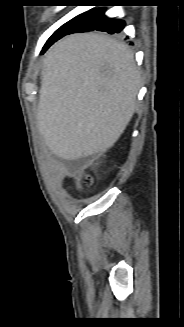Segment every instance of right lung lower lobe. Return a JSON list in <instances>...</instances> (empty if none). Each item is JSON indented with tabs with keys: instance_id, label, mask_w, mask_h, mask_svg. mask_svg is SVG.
Instances as JSON below:
<instances>
[{
	"instance_id": "right-lung-lower-lobe-1",
	"label": "right lung lower lobe",
	"mask_w": 184,
	"mask_h": 327,
	"mask_svg": "<svg viewBox=\"0 0 184 327\" xmlns=\"http://www.w3.org/2000/svg\"><path fill=\"white\" fill-rule=\"evenodd\" d=\"M124 27L125 22L123 20L109 18L105 15L104 8H97L87 11L82 20L67 34L94 30L114 34L122 32Z\"/></svg>"
}]
</instances>
